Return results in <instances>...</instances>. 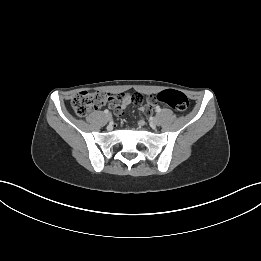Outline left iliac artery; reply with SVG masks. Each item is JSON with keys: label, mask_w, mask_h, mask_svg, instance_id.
Segmentation results:
<instances>
[{"label": "left iliac artery", "mask_w": 261, "mask_h": 261, "mask_svg": "<svg viewBox=\"0 0 261 261\" xmlns=\"http://www.w3.org/2000/svg\"><path fill=\"white\" fill-rule=\"evenodd\" d=\"M161 108L159 106L156 107V112H160Z\"/></svg>", "instance_id": "obj_1"}]
</instances>
